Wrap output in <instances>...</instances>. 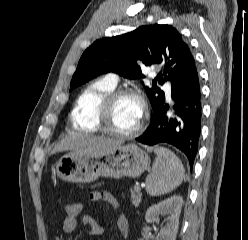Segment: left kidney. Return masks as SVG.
Instances as JSON below:
<instances>
[{"instance_id":"left-kidney-1","label":"left kidney","mask_w":248,"mask_h":240,"mask_svg":"<svg viewBox=\"0 0 248 240\" xmlns=\"http://www.w3.org/2000/svg\"><path fill=\"white\" fill-rule=\"evenodd\" d=\"M182 205L183 198L179 195H174L156 205L149 207L145 215V219L148 223L156 222L159 215H168L167 223L160 230L157 240L176 239Z\"/></svg>"}]
</instances>
